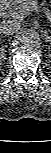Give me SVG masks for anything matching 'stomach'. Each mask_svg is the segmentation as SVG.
I'll return each mask as SVG.
<instances>
[{"label":"stomach","instance_id":"1","mask_svg":"<svg viewBox=\"0 0 51 153\" xmlns=\"http://www.w3.org/2000/svg\"><path fill=\"white\" fill-rule=\"evenodd\" d=\"M24 1H26V0H13L12 2H15V3H22V2H24Z\"/></svg>","mask_w":51,"mask_h":153}]
</instances>
